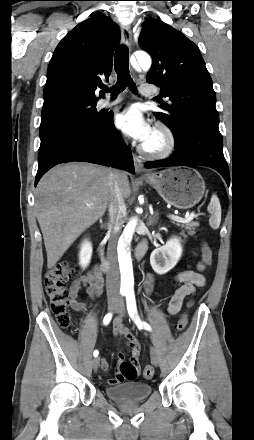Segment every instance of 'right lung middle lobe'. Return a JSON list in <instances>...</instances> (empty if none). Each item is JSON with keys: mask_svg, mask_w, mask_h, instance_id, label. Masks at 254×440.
I'll use <instances>...</instances> for the list:
<instances>
[{"mask_svg": "<svg viewBox=\"0 0 254 440\" xmlns=\"http://www.w3.org/2000/svg\"><path fill=\"white\" fill-rule=\"evenodd\" d=\"M96 103L97 100L72 95L58 96L44 102L39 151L62 134L95 129L100 123Z\"/></svg>", "mask_w": 254, "mask_h": 440, "instance_id": "obj_1", "label": "right lung middle lobe"}]
</instances>
